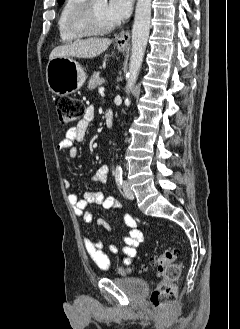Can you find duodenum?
<instances>
[{"instance_id":"410a0bca","label":"duodenum","mask_w":240,"mask_h":329,"mask_svg":"<svg viewBox=\"0 0 240 329\" xmlns=\"http://www.w3.org/2000/svg\"><path fill=\"white\" fill-rule=\"evenodd\" d=\"M105 122H106V126L107 128H112L113 126V122H114V116H113V112L110 108H107L105 111Z\"/></svg>"}]
</instances>
